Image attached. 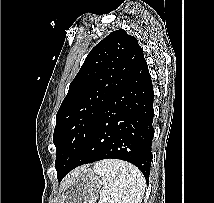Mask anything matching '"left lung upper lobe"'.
Returning <instances> with one entry per match:
<instances>
[{"label":"left lung upper lobe","mask_w":214,"mask_h":203,"mask_svg":"<svg viewBox=\"0 0 214 203\" xmlns=\"http://www.w3.org/2000/svg\"><path fill=\"white\" fill-rule=\"evenodd\" d=\"M138 40L116 30L87 55L56 115L58 180L85 144L99 115L143 60Z\"/></svg>","instance_id":"left-lung-upper-lobe-1"}]
</instances>
